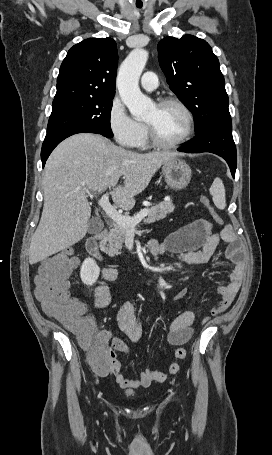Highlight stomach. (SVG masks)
I'll return each instance as SVG.
<instances>
[{"mask_svg":"<svg viewBox=\"0 0 272 455\" xmlns=\"http://www.w3.org/2000/svg\"><path fill=\"white\" fill-rule=\"evenodd\" d=\"M162 174L166 183L175 190L185 188L191 179V169L178 157H173L162 164Z\"/></svg>","mask_w":272,"mask_h":455,"instance_id":"0dacf381","label":"stomach"}]
</instances>
